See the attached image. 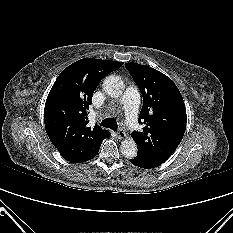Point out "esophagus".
Instances as JSON below:
<instances>
[{
	"instance_id": "34e87169",
	"label": "esophagus",
	"mask_w": 233,
	"mask_h": 233,
	"mask_svg": "<svg viewBox=\"0 0 233 233\" xmlns=\"http://www.w3.org/2000/svg\"><path fill=\"white\" fill-rule=\"evenodd\" d=\"M117 136L119 139H124V138H126V133L122 129H119L117 131Z\"/></svg>"
}]
</instances>
